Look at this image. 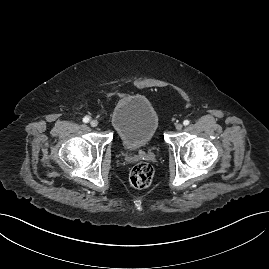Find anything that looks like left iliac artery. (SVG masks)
Returning a JSON list of instances; mask_svg holds the SVG:
<instances>
[{
  "label": "left iliac artery",
  "mask_w": 269,
  "mask_h": 269,
  "mask_svg": "<svg viewBox=\"0 0 269 269\" xmlns=\"http://www.w3.org/2000/svg\"><path fill=\"white\" fill-rule=\"evenodd\" d=\"M189 123H190L189 120H184V121H183V124H184L185 126H187Z\"/></svg>",
  "instance_id": "1"
}]
</instances>
